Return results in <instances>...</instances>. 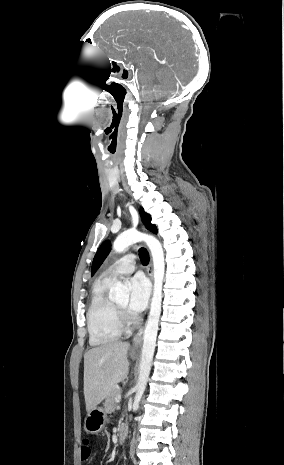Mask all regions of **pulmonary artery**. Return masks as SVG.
Instances as JSON below:
<instances>
[{"mask_svg":"<svg viewBox=\"0 0 284 465\" xmlns=\"http://www.w3.org/2000/svg\"><path fill=\"white\" fill-rule=\"evenodd\" d=\"M135 255L134 254H123L122 259L106 269L102 277L107 281H112L117 278H122L126 275H130L135 270Z\"/></svg>","mask_w":284,"mask_h":465,"instance_id":"pulmonary-artery-1","label":"pulmonary artery"}]
</instances>
